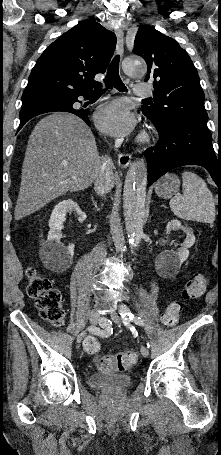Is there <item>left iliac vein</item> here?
Returning <instances> with one entry per match:
<instances>
[{"label":"left iliac vein","mask_w":221,"mask_h":455,"mask_svg":"<svg viewBox=\"0 0 221 455\" xmlns=\"http://www.w3.org/2000/svg\"><path fill=\"white\" fill-rule=\"evenodd\" d=\"M120 307H121V306H120ZM111 319H112L115 323H117V324H120V323H121V318H120V316H119L116 312H114V313L111 314ZM140 351H141V354H142L144 357H148L149 351H148V349H147L146 346H142Z\"/></svg>","instance_id":"obj_1"}]
</instances>
